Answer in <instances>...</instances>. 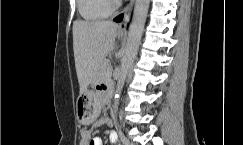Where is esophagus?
<instances>
[{
	"instance_id": "34e87169",
	"label": "esophagus",
	"mask_w": 243,
	"mask_h": 145,
	"mask_svg": "<svg viewBox=\"0 0 243 145\" xmlns=\"http://www.w3.org/2000/svg\"><path fill=\"white\" fill-rule=\"evenodd\" d=\"M135 0H130L128 5L125 7V9L122 12V21L119 24V31H126L127 24L129 22L131 12L134 6Z\"/></svg>"
}]
</instances>
